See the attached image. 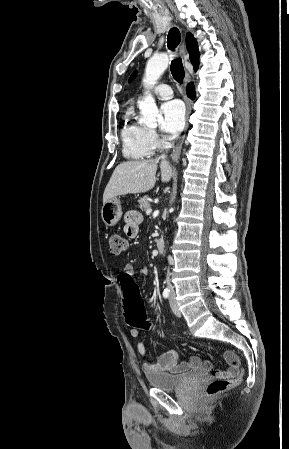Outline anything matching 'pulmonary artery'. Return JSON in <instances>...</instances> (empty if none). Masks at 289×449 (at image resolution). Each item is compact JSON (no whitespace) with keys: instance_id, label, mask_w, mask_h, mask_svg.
I'll list each match as a JSON object with an SVG mask.
<instances>
[{"instance_id":"obj_1","label":"pulmonary artery","mask_w":289,"mask_h":449,"mask_svg":"<svg viewBox=\"0 0 289 449\" xmlns=\"http://www.w3.org/2000/svg\"><path fill=\"white\" fill-rule=\"evenodd\" d=\"M153 93L161 99H169L173 95V91H172L171 87L167 84L157 85L154 88Z\"/></svg>"}]
</instances>
